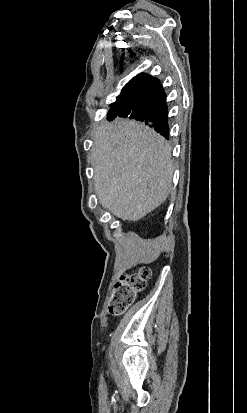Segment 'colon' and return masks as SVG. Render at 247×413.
<instances>
[{"instance_id": "colon-1", "label": "colon", "mask_w": 247, "mask_h": 413, "mask_svg": "<svg viewBox=\"0 0 247 413\" xmlns=\"http://www.w3.org/2000/svg\"><path fill=\"white\" fill-rule=\"evenodd\" d=\"M152 275L148 266H141L135 272L126 273L114 285L113 297L109 306L110 313L120 315L133 305L136 295L146 288Z\"/></svg>"}]
</instances>
